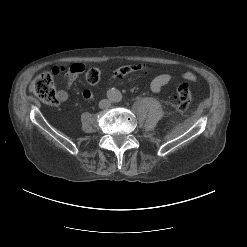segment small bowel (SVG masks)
Wrapping results in <instances>:
<instances>
[{"instance_id": "c3829d8e", "label": "small bowel", "mask_w": 247, "mask_h": 247, "mask_svg": "<svg viewBox=\"0 0 247 247\" xmlns=\"http://www.w3.org/2000/svg\"><path fill=\"white\" fill-rule=\"evenodd\" d=\"M142 69H147L144 65L136 64L132 66L120 67L114 71V75L116 77L125 76L133 71H138ZM86 71V66L82 63H74L69 68H65L63 66L54 67L53 74L57 77L58 80L63 76V84L66 89H69L78 75L84 73ZM183 79L186 81L194 82L196 81V76L192 72H185L182 75ZM172 77L170 74L162 73L155 76L151 83L150 88L154 93H160L164 86H166ZM59 99L60 101H65L67 99V92L62 90L59 91ZM93 92L89 89L84 90L83 97L87 100H91L93 98Z\"/></svg>"}]
</instances>
